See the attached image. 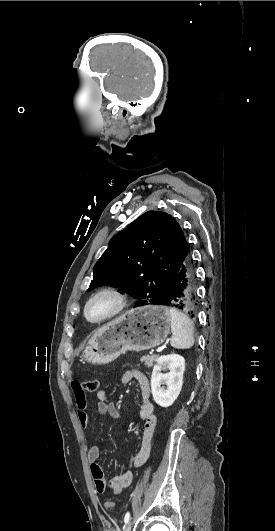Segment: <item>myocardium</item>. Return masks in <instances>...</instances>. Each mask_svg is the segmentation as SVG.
Returning a JSON list of instances; mask_svg holds the SVG:
<instances>
[{
  "label": "myocardium",
  "instance_id": "myocardium-1",
  "mask_svg": "<svg viewBox=\"0 0 275 531\" xmlns=\"http://www.w3.org/2000/svg\"><path fill=\"white\" fill-rule=\"evenodd\" d=\"M100 300H108L111 303L109 310L99 317H91L89 315V308L92 304ZM126 305V298L124 293L116 287H104L91 295L84 303L83 316L89 323L99 324L105 322L116 315H118L124 309Z\"/></svg>",
  "mask_w": 275,
  "mask_h": 531
}]
</instances>
